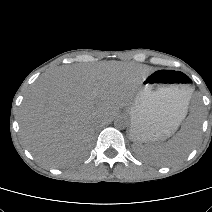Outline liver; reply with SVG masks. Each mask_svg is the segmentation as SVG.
Masks as SVG:
<instances>
[{"instance_id": "1", "label": "liver", "mask_w": 212, "mask_h": 212, "mask_svg": "<svg viewBox=\"0 0 212 212\" xmlns=\"http://www.w3.org/2000/svg\"><path fill=\"white\" fill-rule=\"evenodd\" d=\"M150 73L136 63L107 61L42 75L20 109L23 144L44 165L73 164L87 155L96 125L129 106Z\"/></svg>"}]
</instances>
